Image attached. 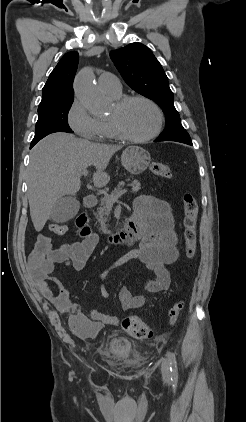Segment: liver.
I'll return each instance as SVG.
<instances>
[{
	"label": "liver",
	"mask_w": 246,
	"mask_h": 422,
	"mask_svg": "<svg viewBox=\"0 0 246 422\" xmlns=\"http://www.w3.org/2000/svg\"><path fill=\"white\" fill-rule=\"evenodd\" d=\"M121 148L67 133H54L38 142L31 150L28 167V201L35 230L43 229L58 199L80 190V178L89 166L96 168L94 185L105 186L110 181L105 169Z\"/></svg>",
	"instance_id": "1"
}]
</instances>
